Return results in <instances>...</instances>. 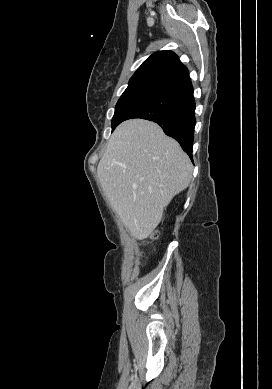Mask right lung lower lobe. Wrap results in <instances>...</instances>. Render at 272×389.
Here are the masks:
<instances>
[{
	"label": "right lung lower lobe",
	"mask_w": 272,
	"mask_h": 389,
	"mask_svg": "<svg viewBox=\"0 0 272 389\" xmlns=\"http://www.w3.org/2000/svg\"><path fill=\"white\" fill-rule=\"evenodd\" d=\"M142 118L158 123L192 158L195 100L189 75L163 86L133 107L122 121Z\"/></svg>",
	"instance_id": "right-lung-lower-lobe-1"
}]
</instances>
